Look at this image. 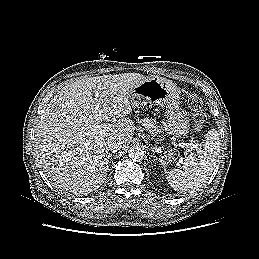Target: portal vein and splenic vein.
<instances>
[{"mask_svg":"<svg viewBox=\"0 0 259 259\" xmlns=\"http://www.w3.org/2000/svg\"><path fill=\"white\" fill-rule=\"evenodd\" d=\"M110 124L108 123H103L101 125H99L97 128L100 131H107L110 128ZM95 132V130H92L91 132H88L87 134H93ZM182 147H186V148H196V149H200L201 148V144L195 143L194 141H191L189 143H183L181 145Z\"/></svg>","mask_w":259,"mask_h":259,"instance_id":"obj_1","label":"portal vein and splenic vein"}]
</instances>
